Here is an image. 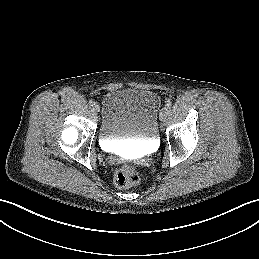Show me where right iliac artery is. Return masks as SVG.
I'll use <instances>...</instances> for the list:
<instances>
[{"mask_svg":"<svg viewBox=\"0 0 259 259\" xmlns=\"http://www.w3.org/2000/svg\"><path fill=\"white\" fill-rule=\"evenodd\" d=\"M89 104H90L91 106H93V105L95 104V102H94L93 100H90V101H89Z\"/></svg>","mask_w":259,"mask_h":259,"instance_id":"obj_1","label":"right iliac artery"}]
</instances>
